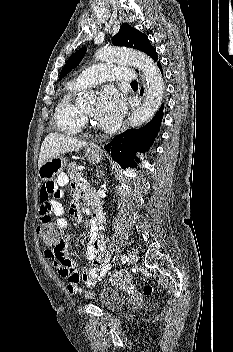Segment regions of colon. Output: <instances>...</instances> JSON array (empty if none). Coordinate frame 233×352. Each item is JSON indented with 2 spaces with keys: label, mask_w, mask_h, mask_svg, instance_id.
I'll use <instances>...</instances> for the list:
<instances>
[{
  "label": "colon",
  "mask_w": 233,
  "mask_h": 352,
  "mask_svg": "<svg viewBox=\"0 0 233 352\" xmlns=\"http://www.w3.org/2000/svg\"><path fill=\"white\" fill-rule=\"evenodd\" d=\"M38 235L44 243L50 246L61 245L64 242V232L56 225L48 222H43L38 227ZM155 289L152 285L147 284L144 287V293L146 295L154 294ZM83 295L86 298H90L92 293L89 291H83Z\"/></svg>",
  "instance_id": "colon-1"
}]
</instances>
